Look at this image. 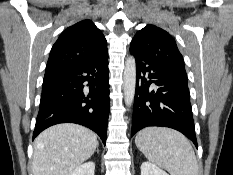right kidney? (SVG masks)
<instances>
[{
  "label": "right kidney",
  "instance_id": "1",
  "mask_svg": "<svg viewBox=\"0 0 233 175\" xmlns=\"http://www.w3.org/2000/svg\"><path fill=\"white\" fill-rule=\"evenodd\" d=\"M94 171L95 164L89 161L75 168L69 175H94Z\"/></svg>",
  "mask_w": 233,
  "mask_h": 175
}]
</instances>
